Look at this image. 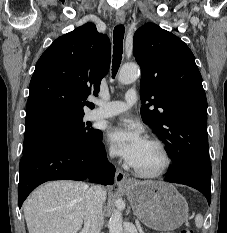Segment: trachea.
Returning <instances> with one entry per match:
<instances>
[{
  "label": "trachea",
  "mask_w": 227,
  "mask_h": 233,
  "mask_svg": "<svg viewBox=\"0 0 227 233\" xmlns=\"http://www.w3.org/2000/svg\"><path fill=\"white\" fill-rule=\"evenodd\" d=\"M124 26L117 25L114 28L113 34V60H112V78H115V75L120 67L123 53V38H124Z\"/></svg>",
  "instance_id": "obj_1"
}]
</instances>
